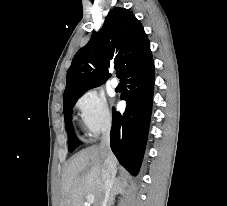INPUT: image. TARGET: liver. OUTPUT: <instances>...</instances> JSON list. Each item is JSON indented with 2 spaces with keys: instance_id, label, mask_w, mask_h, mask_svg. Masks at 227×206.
Here are the masks:
<instances>
[{
  "instance_id": "liver-1",
  "label": "liver",
  "mask_w": 227,
  "mask_h": 206,
  "mask_svg": "<svg viewBox=\"0 0 227 206\" xmlns=\"http://www.w3.org/2000/svg\"><path fill=\"white\" fill-rule=\"evenodd\" d=\"M104 160L100 146L88 147L72 157L62 177L59 206H84L87 194L94 195L93 206H100L104 194ZM120 187L123 188V184Z\"/></svg>"
}]
</instances>
